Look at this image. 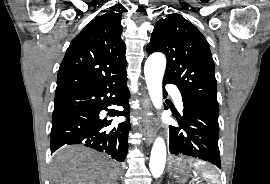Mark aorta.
Here are the masks:
<instances>
[{
	"instance_id": "1",
	"label": "aorta",
	"mask_w": 270,
	"mask_h": 184,
	"mask_svg": "<svg viewBox=\"0 0 270 184\" xmlns=\"http://www.w3.org/2000/svg\"><path fill=\"white\" fill-rule=\"evenodd\" d=\"M166 58L162 53H154L145 62L144 74L149 96L156 109L162 107V80ZM166 145L163 138H156L150 156L149 168L153 177L162 175L166 163Z\"/></svg>"
}]
</instances>
